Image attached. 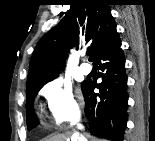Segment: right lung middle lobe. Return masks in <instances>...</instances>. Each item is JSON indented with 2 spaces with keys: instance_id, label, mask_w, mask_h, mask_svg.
<instances>
[{
  "instance_id": "obj_1",
  "label": "right lung middle lobe",
  "mask_w": 155,
  "mask_h": 141,
  "mask_svg": "<svg viewBox=\"0 0 155 141\" xmlns=\"http://www.w3.org/2000/svg\"><path fill=\"white\" fill-rule=\"evenodd\" d=\"M54 78H55V76L45 79L39 83H36V84L28 87L26 90V98H27L26 120H27V128L29 130L36 127L38 124V121L35 117L34 110H33L34 98L37 95L38 91L42 88V86Z\"/></svg>"
}]
</instances>
